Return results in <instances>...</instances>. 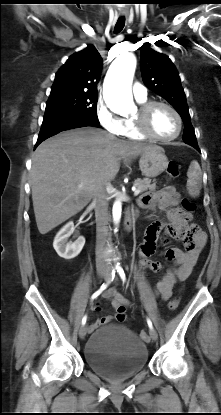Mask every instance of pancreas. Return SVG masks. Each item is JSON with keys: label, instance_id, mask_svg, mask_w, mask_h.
Instances as JSON below:
<instances>
[{"label": "pancreas", "instance_id": "1", "mask_svg": "<svg viewBox=\"0 0 221 415\" xmlns=\"http://www.w3.org/2000/svg\"><path fill=\"white\" fill-rule=\"evenodd\" d=\"M134 186L140 190V192H144L147 190H155L156 189V182L151 184V179L144 178V179H137L134 181Z\"/></svg>", "mask_w": 221, "mask_h": 415}]
</instances>
